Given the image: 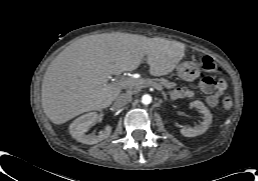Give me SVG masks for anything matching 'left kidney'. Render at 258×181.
<instances>
[{
	"mask_svg": "<svg viewBox=\"0 0 258 181\" xmlns=\"http://www.w3.org/2000/svg\"><path fill=\"white\" fill-rule=\"evenodd\" d=\"M191 108H196L203 114V121L195 127H184L180 129V133L185 137H195L207 131L212 123V114L201 101H193L190 103Z\"/></svg>",
	"mask_w": 258,
	"mask_h": 181,
	"instance_id": "1",
	"label": "left kidney"
}]
</instances>
